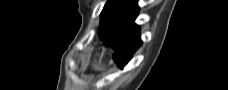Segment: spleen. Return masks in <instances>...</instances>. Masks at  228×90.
Wrapping results in <instances>:
<instances>
[{
	"label": "spleen",
	"instance_id": "obj_1",
	"mask_svg": "<svg viewBox=\"0 0 228 90\" xmlns=\"http://www.w3.org/2000/svg\"><path fill=\"white\" fill-rule=\"evenodd\" d=\"M92 66H93V68H94L95 70H99V71H103V70H104V68H103L102 66H97L96 63L93 64Z\"/></svg>",
	"mask_w": 228,
	"mask_h": 90
}]
</instances>
